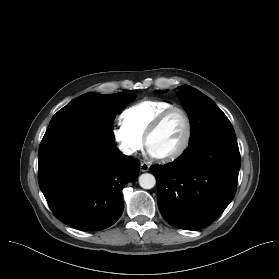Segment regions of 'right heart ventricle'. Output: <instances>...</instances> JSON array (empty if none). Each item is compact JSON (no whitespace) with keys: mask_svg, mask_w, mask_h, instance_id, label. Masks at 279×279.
Segmentation results:
<instances>
[{"mask_svg":"<svg viewBox=\"0 0 279 279\" xmlns=\"http://www.w3.org/2000/svg\"><path fill=\"white\" fill-rule=\"evenodd\" d=\"M172 106H174L172 103L165 100L144 99L126 108L121 114V120L128 128L144 138L156 116Z\"/></svg>","mask_w":279,"mask_h":279,"instance_id":"1","label":"right heart ventricle"}]
</instances>
